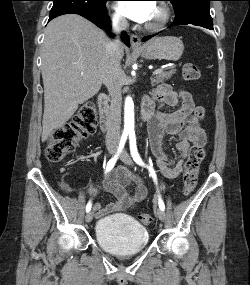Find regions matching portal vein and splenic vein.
<instances>
[{
  "mask_svg": "<svg viewBox=\"0 0 250 285\" xmlns=\"http://www.w3.org/2000/svg\"><path fill=\"white\" fill-rule=\"evenodd\" d=\"M163 71V69H156L154 72H153V75H157L159 73H161Z\"/></svg>",
  "mask_w": 250,
  "mask_h": 285,
  "instance_id": "18ae733b",
  "label": "portal vein and splenic vein"
}]
</instances>
